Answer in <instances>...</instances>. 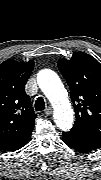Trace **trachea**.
<instances>
[{
  "label": "trachea",
  "mask_w": 101,
  "mask_h": 180,
  "mask_svg": "<svg viewBox=\"0 0 101 180\" xmlns=\"http://www.w3.org/2000/svg\"><path fill=\"white\" fill-rule=\"evenodd\" d=\"M36 111H43L45 109V102L42 97H38L35 102Z\"/></svg>",
  "instance_id": "1"
}]
</instances>
